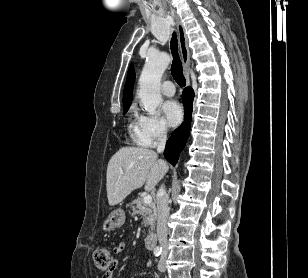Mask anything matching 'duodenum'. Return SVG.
I'll return each instance as SVG.
<instances>
[{"instance_id": "obj_1", "label": "duodenum", "mask_w": 308, "mask_h": 278, "mask_svg": "<svg viewBox=\"0 0 308 278\" xmlns=\"http://www.w3.org/2000/svg\"><path fill=\"white\" fill-rule=\"evenodd\" d=\"M145 243L147 248L152 249L157 244V234L155 232H151L146 236Z\"/></svg>"}]
</instances>
